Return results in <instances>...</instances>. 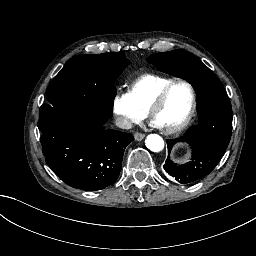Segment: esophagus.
<instances>
[{
    "label": "esophagus",
    "mask_w": 256,
    "mask_h": 256,
    "mask_svg": "<svg viewBox=\"0 0 256 256\" xmlns=\"http://www.w3.org/2000/svg\"><path fill=\"white\" fill-rule=\"evenodd\" d=\"M145 135L143 133H135L134 134V139L136 141H141L142 139H144Z\"/></svg>",
    "instance_id": "1"
}]
</instances>
